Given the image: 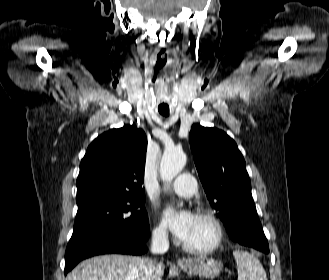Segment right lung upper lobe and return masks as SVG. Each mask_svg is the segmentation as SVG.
<instances>
[{
	"instance_id": "1",
	"label": "right lung upper lobe",
	"mask_w": 329,
	"mask_h": 280,
	"mask_svg": "<svg viewBox=\"0 0 329 280\" xmlns=\"http://www.w3.org/2000/svg\"><path fill=\"white\" fill-rule=\"evenodd\" d=\"M146 150V135L135 125H124L98 136L81 161L77 198L144 197Z\"/></svg>"
}]
</instances>
